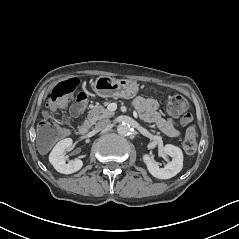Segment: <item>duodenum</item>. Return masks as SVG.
<instances>
[{
	"mask_svg": "<svg viewBox=\"0 0 239 239\" xmlns=\"http://www.w3.org/2000/svg\"><path fill=\"white\" fill-rule=\"evenodd\" d=\"M89 128H90L89 124L83 123L82 125L79 126L78 132L80 135H86L89 131Z\"/></svg>",
	"mask_w": 239,
	"mask_h": 239,
	"instance_id": "1",
	"label": "duodenum"
}]
</instances>
